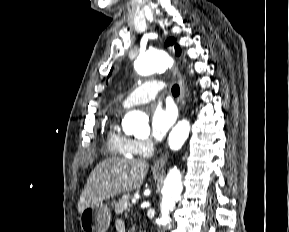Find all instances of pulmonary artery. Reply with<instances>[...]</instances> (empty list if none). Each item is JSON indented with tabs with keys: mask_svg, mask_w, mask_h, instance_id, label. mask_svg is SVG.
Here are the masks:
<instances>
[{
	"mask_svg": "<svg viewBox=\"0 0 289 232\" xmlns=\"http://www.w3.org/2000/svg\"><path fill=\"white\" fill-rule=\"evenodd\" d=\"M163 87L164 85L160 81H148L131 92L124 100L123 106L125 108H130L137 104L151 101L156 98Z\"/></svg>",
	"mask_w": 289,
	"mask_h": 232,
	"instance_id": "pulmonary-artery-1",
	"label": "pulmonary artery"
}]
</instances>
